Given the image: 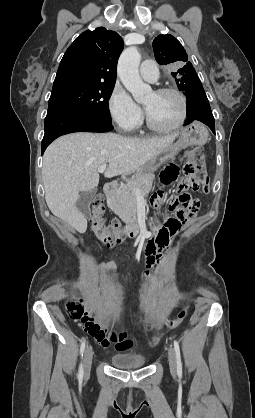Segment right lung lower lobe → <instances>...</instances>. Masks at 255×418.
Masks as SVG:
<instances>
[{
  "mask_svg": "<svg viewBox=\"0 0 255 418\" xmlns=\"http://www.w3.org/2000/svg\"><path fill=\"white\" fill-rule=\"evenodd\" d=\"M112 123L104 122L86 113L71 109L48 110L45 118V134L42 140V154L56 138L73 132H109Z\"/></svg>",
  "mask_w": 255,
  "mask_h": 418,
  "instance_id": "obj_1",
  "label": "right lung lower lobe"
}]
</instances>
